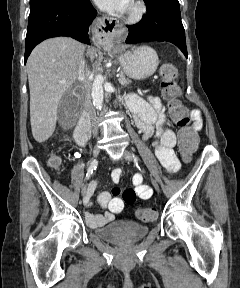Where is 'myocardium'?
<instances>
[{"label": "myocardium", "instance_id": "1", "mask_svg": "<svg viewBox=\"0 0 240 288\" xmlns=\"http://www.w3.org/2000/svg\"><path fill=\"white\" fill-rule=\"evenodd\" d=\"M147 13V6L143 0H134L128 13V22L137 24L141 22Z\"/></svg>", "mask_w": 240, "mask_h": 288}]
</instances>
